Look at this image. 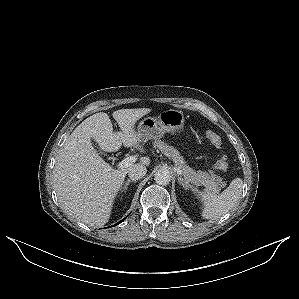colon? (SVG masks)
<instances>
[{
  "instance_id": "1",
  "label": "colon",
  "mask_w": 299,
  "mask_h": 299,
  "mask_svg": "<svg viewBox=\"0 0 299 299\" xmlns=\"http://www.w3.org/2000/svg\"><path fill=\"white\" fill-rule=\"evenodd\" d=\"M206 138L216 147H221L222 146V139L221 137L216 134L213 131H207L206 132ZM228 167V160L226 157H221L219 158L215 165L214 168L219 170V171H224Z\"/></svg>"
}]
</instances>
